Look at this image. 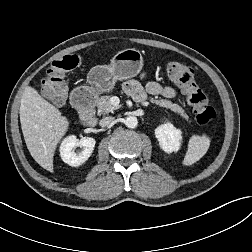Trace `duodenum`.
Returning a JSON list of instances; mask_svg holds the SVG:
<instances>
[{"mask_svg": "<svg viewBox=\"0 0 252 252\" xmlns=\"http://www.w3.org/2000/svg\"><path fill=\"white\" fill-rule=\"evenodd\" d=\"M94 95L90 89H79L72 93L71 103L79 110V122L84 126H95L96 118L92 114Z\"/></svg>", "mask_w": 252, "mask_h": 252, "instance_id": "duodenum-1", "label": "duodenum"}]
</instances>
